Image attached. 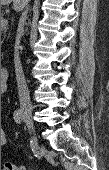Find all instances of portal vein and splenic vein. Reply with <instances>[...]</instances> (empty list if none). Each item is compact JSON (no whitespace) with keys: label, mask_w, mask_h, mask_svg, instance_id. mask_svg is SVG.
I'll list each match as a JSON object with an SVG mask.
<instances>
[{"label":"portal vein and splenic vein","mask_w":109,"mask_h":170,"mask_svg":"<svg viewBox=\"0 0 109 170\" xmlns=\"http://www.w3.org/2000/svg\"><path fill=\"white\" fill-rule=\"evenodd\" d=\"M8 24L7 19H1V29H5Z\"/></svg>","instance_id":"1"}]
</instances>
